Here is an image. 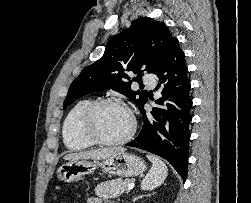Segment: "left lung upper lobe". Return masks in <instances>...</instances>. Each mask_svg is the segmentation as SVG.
<instances>
[{
	"label": "left lung upper lobe",
	"instance_id": "obj_1",
	"mask_svg": "<svg viewBox=\"0 0 251 203\" xmlns=\"http://www.w3.org/2000/svg\"><path fill=\"white\" fill-rule=\"evenodd\" d=\"M176 38L163 22L139 18L130 28L113 36L103 56L86 67L72 82L63 104L65 109L78 98L92 92L113 89L130 98L141 109L147 102V91H133V72L138 77L142 71L154 73L163 63Z\"/></svg>",
	"mask_w": 251,
	"mask_h": 203
}]
</instances>
